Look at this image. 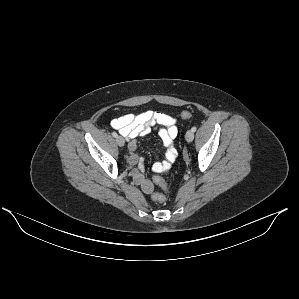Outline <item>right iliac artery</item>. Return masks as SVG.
Listing matches in <instances>:
<instances>
[{"label": "right iliac artery", "mask_w": 299, "mask_h": 299, "mask_svg": "<svg viewBox=\"0 0 299 299\" xmlns=\"http://www.w3.org/2000/svg\"><path fill=\"white\" fill-rule=\"evenodd\" d=\"M112 136H113V137H117L118 135H117L116 132H112Z\"/></svg>", "instance_id": "82829eb1"}]
</instances>
